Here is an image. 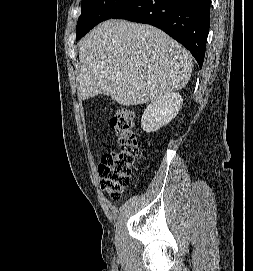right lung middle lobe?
<instances>
[{
  "instance_id": "right-lung-middle-lobe-1",
  "label": "right lung middle lobe",
  "mask_w": 253,
  "mask_h": 271,
  "mask_svg": "<svg viewBox=\"0 0 253 271\" xmlns=\"http://www.w3.org/2000/svg\"><path fill=\"white\" fill-rule=\"evenodd\" d=\"M130 0H82L76 38L80 39L98 23L112 18Z\"/></svg>"
}]
</instances>
